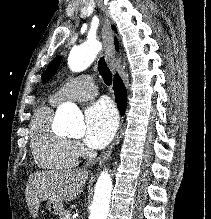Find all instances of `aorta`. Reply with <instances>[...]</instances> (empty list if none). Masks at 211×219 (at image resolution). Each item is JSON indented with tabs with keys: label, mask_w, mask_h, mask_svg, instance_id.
I'll list each match as a JSON object with an SVG mask.
<instances>
[{
	"label": "aorta",
	"mask_w": 211,
	"mask_h": 219,
	"mask_svg": "<svg viewBox=\"0 0 211 219\" xmlns=\"http://www.w3.org/2000/svg\"><path fill=\"white\" fill-rule=\"evenodd\" d=\"M99 46L94 41L85 42L72 48L68 57V66L74 72L85 70L94 61ZM57 117L65 125L71 136H83L85 124L80 110L72 103H64L57 111ZM112 192V180L107 170L103 171L95 185L93 203L89 219H107Z\"/></svg>",
	"instance_id": "762f6f07"
}]
</instances>
